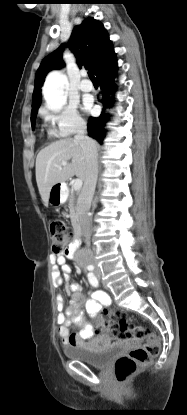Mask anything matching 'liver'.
Returning <instances> with one entry per match:
<instances>
[{
	"label": "liver",
	"instance_id": "obj_1",
	"mask_svg": "<svg viewBox=\"0 0 187 415\" xmlns=\"http://www.w3.org/2000/svg\"><path fill=\"white\" fill-rule=\"evenodd\" d=\"M69 160L71 162L67 165H61ZM85 170L83 150L73 138L60 139L42 149L36 158V182L44 205H48L49 193L55 184L65 182L74 175L84 180Z\"/></svg>",
	"mask_w": 187,
	"mask_h": 415
}]
</instances>
